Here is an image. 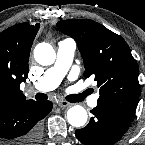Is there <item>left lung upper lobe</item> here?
<instances>
[{
  "instance_id": "5c2ea615",
  "label": "left lung upper lobe",
  "mask_w": 145,
  "mask_h": 145,
  "mask_svg": "<svg viewBox=\"0 0 145 145\" xmlns=\"http://www.w3.org/2000/svg\"><path fill=\"white\" fill-rule=\"evenodd\" d=\"M57 28L77 42L84 76L95 77L100 93L97 106L131 119L139 99V70L125 40L89 19L63 20Z\"/></svg>"
}]
</instances>
